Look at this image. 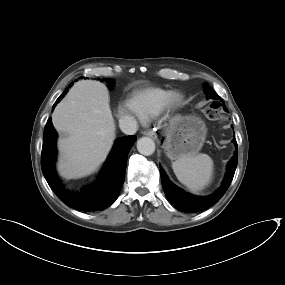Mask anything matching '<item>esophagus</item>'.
Instances as JSON below:
<instances>
[{"mask_svg":"<svg viewBox=\"0 0 285 285\" xmlns=\"http://www.w3.org/2000/svg\"><path fill=\"white\" fill-rule=\"evenodd\" d=\"M148 137H151L152 139L156 140L157 139V134L153 131H148L145 133Z\"/></svg>","mask_w":285,"mask_h":285,"instance_id":"obj_1","label":"esophagus"}]
</instances>
